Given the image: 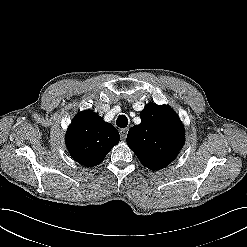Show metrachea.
<instances>
[{
  "label": "trachea",
  "mask_w": 247,
  "mask_h": 247,
  "mask_svg": "<svg viewBox=\"0 0 247 247\" xmlns=\"http://www.w3.org/2000/svg\"><path fill=\"white\" fill-rule=\"evenodd\" d=\"M116 125L120 128H125L128 125V119L125 115L118 116L116 120Z\"/></svg>",
  "instance_id": "obj_1"
}]
</instances>
